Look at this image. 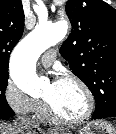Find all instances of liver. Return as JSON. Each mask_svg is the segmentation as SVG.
Returning <instances> with one entry per match:
<instances>
[{
	"mask_svg": "<svg viewBox=\"0 0 116 134\" xmlns=\"http://www.w3.org/2000/svg\"><path fill=\"white\" fill-rule=\"evenodd\" d=\"M0 134H23V133L17 126L0 121ZM26 134H32V133L30 131L29 133Z\"/></svg>",
	"mask_w": 116,
	"mask_h": 134,
	"instance_id": "6515ba94",
	"label": "liver"
}]
</instances>
